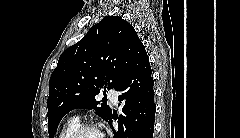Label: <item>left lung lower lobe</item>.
Segmentation results:
<instances>
[{"label":"left lung lower lobe","mask_w":240,"mask_h":138,"mask_svg":"<svg viewBox=\"0 0 240 138\" xmlns=\"http://www.w3.org/2000/svg\"><path fill=\"white\" fill-rule=\"evenodd\" d=\"M151 75L149 58L142 47L125 79L117 88V91L122 93L118 100L123 105L118 129L112 127L113 115L107 121L115 138H152L156 105Z\"/></svg>","instance_id":"left-lung-lower-lobe-1"}]
</instances>
